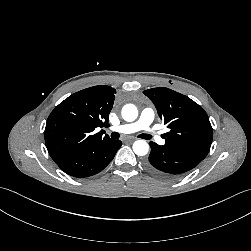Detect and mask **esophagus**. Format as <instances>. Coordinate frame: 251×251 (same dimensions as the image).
<instances>
[{
  "mask_svg": "<svg viewBox=\"0 0 251 251\" xmlns=\"http://www.w3.org/2000/svg\"><path fill=\"white\" fill-rule=\"evenodd\" d=\"M135 140V138H128L127 141L129 142H133Z\"/></svg>",
  "mask_w": 251,
  "mask_h": 251,
  "instance_id": "1",
  "label": "esophagus"
}]
</instances>
